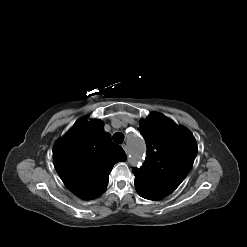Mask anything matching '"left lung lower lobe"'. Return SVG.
<instances>
[{
	"mask_svg": "<svg viewBox=\"0 0 247 247\" xmlns=\"http://www.w3.org/2000/svg\"><path fill=\"white\" fill-rule=\"evenodd\" d=\"M135 188H136L138 194L145 199H149V200H158L159 199L158 197L146 192L144 189H142L140 186H138L136 184H135Z\"/></svg>",
	"mask_w": 247,
	"mask_h": 247,
	"instance_id": "1",
	"label": "left lung lower lobe"
}]
</instances>
